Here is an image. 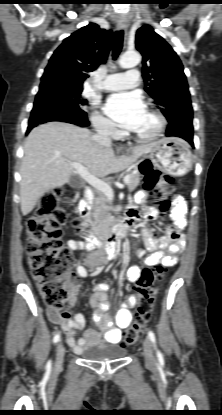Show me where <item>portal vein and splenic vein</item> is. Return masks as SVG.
Listing matches in <instances>:
<instances>
[{
    "label": "portal vein and splenic vein",
    "instance_id": "obj_1",
    "mask_svg": "<svg viewBox=\"0 0 222 415\" xmlns=\"http://www.w3.org/2000/svg\"><path fill=\"white\" fill-rule=\"evenodd\" d=\"M70 166L75 169L78 174L92 187L96 188L97 190L101 191L107 198L108 200H112L114 197V193L113 190L111 188V186L100 180L99 178L93 176L92 174L89 173V171L87 170V168L79 163L76 162H70ZM130 181V175H126L123 179L124 184H128Z\"/></svg>",
    "mask_w": 222,
    "mask_h": 415
}]
</instances>
